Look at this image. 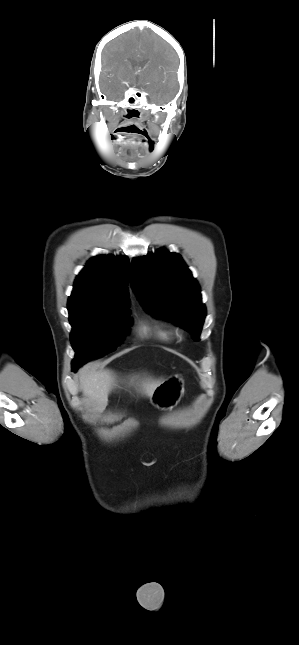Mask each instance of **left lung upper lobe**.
<instances>
[{
    "label": "left lung upper lobe",
    "mask_w": 299,
    "mask_h": 645,
    "mask_svg": "<svg viewBox=\"0 0 299 645\" xmlns=\"http://www.w3.org/2000/svg\"><path fill=\"white\" fill-rule=\"evenodd\" d=\"M130 280L147 312L173 321L199 340L206 308L199 284L179 254L162 248L134 258Z\"/></svg>",
    "instance_id": "left-lung-upper-lobe-1"
}]
</instances>
